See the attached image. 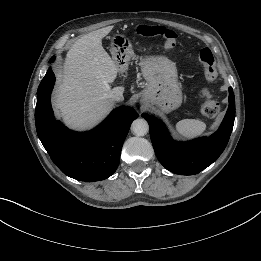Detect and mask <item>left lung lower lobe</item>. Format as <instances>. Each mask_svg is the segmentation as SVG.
I'll list each match as a JSON object with an SVG mask.
<instances>
[{
    "mask_svg": "<svg viewBox=\"0 0 261 261\" xmlns=\"http://www.w3.org/2000/svg\"><path fill=\"white\" fill-rule=\"evenodd\" d=\"M154 151L160 163L175 174L194 175L211 165L225 149L235 119V99L229 87V107L219 129L210 137H201L186 143L174 141L165 125L147 113Z\"/></svg>",
    "mask_w": 261,
    "mask_h": 261,
    "instance_id": "1",
    "label": "left lung lower lobe"
}]
</instances>
